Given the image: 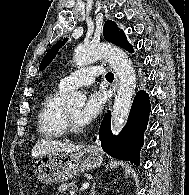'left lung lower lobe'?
I'll list each match as a JSON object with an SVG mask.
<instances>
[{
    "label": "left lung lower lobe",
    "mask_w": 189,
    "mask_h": 195,
    "mask_svg": "<svg viewBox=\"0 0 189 195\" xmlns=\"http://www.w3.org/2000/svg\"><path fill=\"white\" fill-rule=\"evenodd\" d=\"M150 113L149 95L138 91L134 98L127 124L121 133L114 137L111 132V113L104 117L100 130L99 140L105 152L114 158L131 161L139 165V153L143 145L144 131L146 130ZM94 141L96 138L93 139Z\"/></svg>",
    "instance_id": "left-lung-lower-lobe-1"
}]
</instances>
